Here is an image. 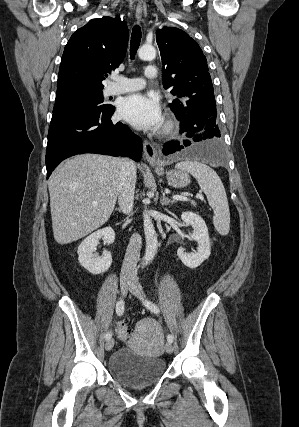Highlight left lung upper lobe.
Returning <instances> with one entry per match:
<instances>
[{"label": "left lung upper lobe", "instance_id": "1", "mask_svg": "<svg viewBox=\"0 0 299 427\" xmlns=\"http://www.w3.org/2000/svg\"><path fill=\"white\" fill-rule=\"evenodd\" d=\"M157 44L163 64V85L172 87L176 99L170 108L180 120L185 107L207 106L214 128L220 134L216 120L214 88L208 72L207 60L198 43L186 32L174 27L156 31Z\"/></svg>", "mask_w": 299, "mask_h": 427}]
</instances>
